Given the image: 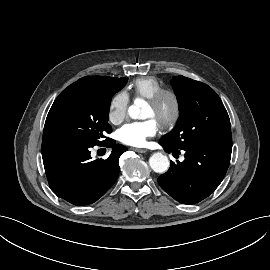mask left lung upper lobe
Here are the masks:
<instances>
[{
  "label": "left lung upper lobe",
  "instance_id": "1",
  "mask_svg": "<svg viewBox=\"0 0 270 270\" xmlns=\"http://www.w3.org/2000/svg\"><path fill=\"white\" fill-rule=\"evenodd\" d=\"M171 85L180 117L175 129L161 142L174 149H184L196 142L232 144L228 113L212 88L184 76L174 77Z\"/></svg>",
  "mask_w": 270,
  "mask_h": 270
}]
</instances>
